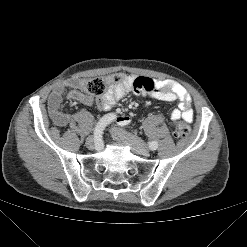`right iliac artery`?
Wrapping results in <instances>:
<instances>
[{"label":"right iliac artery","instance_id":"right-iliac-artery-1","mask_svg":"<svg viewBox=\"0 0 247 247\" xmlns=\"http://www.w3.org/2000/svg\"><path fill=\"white\" fill-rule=\"evenodd\" d=\"M116 118L114 113H109L104 115L99 122L97 123L95 130H94V140L95 142V149L98 152H101L104 149V143L102 137L103 130L105 129L106 125L112 122Z\"/></svg>","mask_w":247,"mask_h":247}]
</instances>
